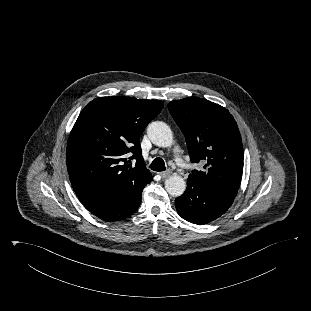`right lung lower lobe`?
I'll return each mask as SVG.
<instances>
[{"label": "right lung lower lobe", "instance_id": "right-lung-lower-lobe-1", "mask_svg": "<svg viewBox=\"0 0 311 311\" xmlns=\"http://www.w3.org/2000/svg\"><path fill=\"white\" fill-rule=\"evenodd\" d=\"M142 191L130 201H108L103 199L81 198L84 207L98 218L113 222L125 219L136 212L140 203Z\"/></svg>", "mask_w": 311, "mask_h": 311}]
</instances>
